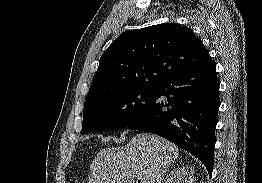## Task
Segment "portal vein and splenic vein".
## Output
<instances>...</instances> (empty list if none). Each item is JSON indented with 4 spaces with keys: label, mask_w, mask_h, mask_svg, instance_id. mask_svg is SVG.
Instances as JSON below:
<instances>
[{
    "label": "portal vein and splenic vein",
    "mask_w": 262,
    "mask_h": 183,
    "mask_svg": "<svg viewBox=\"0 0 262 183\" xmlns=\"http://www.w3.org/2000/svg\"><path fill=\"white\" fill-rule=\"evenodd\" d=\"M136 179L139 180V176H136Z\"/></svg>",
    "instance_id": "1"
}]
</instances>
